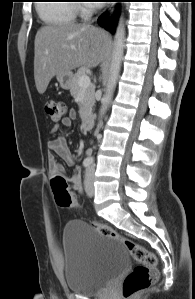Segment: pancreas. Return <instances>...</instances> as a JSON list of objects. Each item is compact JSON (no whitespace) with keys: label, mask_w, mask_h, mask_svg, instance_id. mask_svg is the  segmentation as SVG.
<instances>
[{"label":"pancreas","mask_w":195,"mask_h":299,"mask_svg":"<svg viewBox=\"0 0 195 299\" xmlns=\"http://www.w3.org/2000/svg\"><path fill=\"white\" fill-rule=\"evenodd\" d=\"M86 68L81 67L77 73L73 76V81L72 85L70 87V93L74 98H77L80 93H83V100L80 105V116L84 117L87 113H89L95 103V98H94V91L95 87L94 85L90 84L86 88H82L79 86V79L81 76L86 75Z\"/></svg>","instance_id":"pancreas-1"}]
</instances>
